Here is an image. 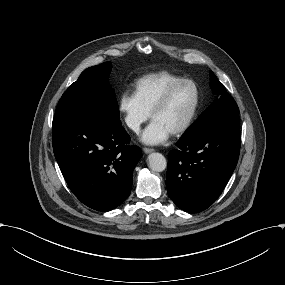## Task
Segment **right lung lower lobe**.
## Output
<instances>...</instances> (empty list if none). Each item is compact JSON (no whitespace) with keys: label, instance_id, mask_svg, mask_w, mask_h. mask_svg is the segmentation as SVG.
Returning <instances> with one entry per match:
<instances>
[{"label":"right lung lower lobe","instance_id":"right-lung-lower-lobe-1","mask_svg":"<svg viewBox=\"0 0 285 285\" xmlns=\"http://www.w3.org/2000/svg\"><path fill=\"white\" fill-rule=\"evenodd\" d=\"M119 119L88 115L54 117L52 144L61 172L86 206L109 211L130 194L141 150Z\"/></svg>","mask_w":285,"mask_h":285}]
</instances>
